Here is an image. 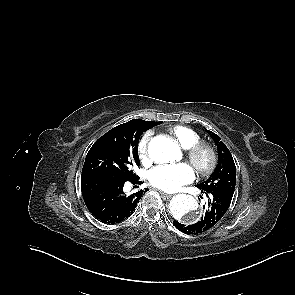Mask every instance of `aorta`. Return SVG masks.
Listing matches in <instances>:
<instances>
[{"instance_id":"aorta-1","label":"aorta","mask_w":295,"mask_h":295,"mask_svg":"<svg viewBox=\"0 0 295 295\" xmlns=\"http://www.w3.org/2000/svg\"><path fill=\"white\" fill-rule=\"evenodd\" d=\"M148 153L157 163H169L178 160L181 156L178 143L167 136L154 137L149 143ZM169 207L171 215L178 221L192 223L198 219V203L191 195H176L170 201Z\"/></svg>"}]
</instances>
